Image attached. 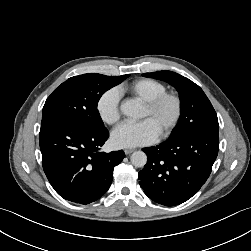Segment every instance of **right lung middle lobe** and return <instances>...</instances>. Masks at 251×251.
<instances>
[{
  "mask_svg": "<svg viewBox=\"0 0 251 251\" xmlns=\"http://www.w3.org/2000/svg\"><path fill=\"white\" fill-rule=\"evenodd\" d=\"M129 76L89 73L69 78L47 98L41 124L64 120L90 128H104L97 110L98 101L107 90Z\"/></svg>",
  "mask_w": 251,
  "mask_h": 251,
  "instance_id": "right-lung-middle-lobe-1",
  "label": "right lung middle lobe"
}]
</instances>
